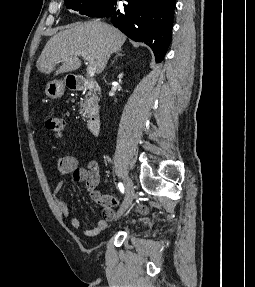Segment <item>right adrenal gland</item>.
Masks as SVG:
<instances>
[{"mask_svg": "<svg viewBox=\"0 0 255 287\" xmlns=\"http://www.w3.org/2000/svg\"><path fill=\"white\" fill-rule=\"evenodd\" d=\"M117 56H115V60H113L112 64H115L118 56H124V54H121V50H119V52H116Z\"/></svg>", "mask_w": 255, "mask_h": 287, "instance_id": "1", "label": "right adrenal gland"}]
</instances>
